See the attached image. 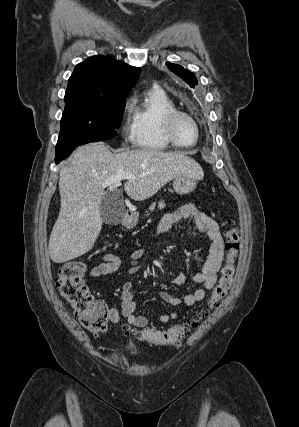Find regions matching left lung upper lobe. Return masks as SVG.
Returning a JSON list of instances; mask_svg holds the SVG:
<instances>
[{"instance_id":"left-lung-upper-lobe-1","label":"left lung upper lobe","mask_w":299,"mask_h":427,"mask_svg":"<svg viewBox=\"0 0 299 427\" xmlns=\"http://www.w3.org/2000/svg\"><path fill=\"white\" fill-rule=\"evenodd\" d=\"M166 65L170 71L182 78L190 87L194 88V86L198 84L194 73H191L189 70L184 69L180 65L171 64L170 62H167Z\"/></svg>"}]
</instances>
